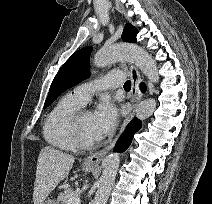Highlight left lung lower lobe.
<instances>
[{"instance_id":"1","label":"left lung lower lobe","mask_w":212,"mask_h":204,"mask_svg":"<svg viewBox=\"0 0 212 204\" xmlns=\"http://www.w3.org/2000/svg\"><path fill=\"white\" fill-rule=\"evenodd\" d=\"M141 128V121L134 118L126 127L115 145V152L125 151L131 144L134 134Z\"/></svg>"}]
</instances>
